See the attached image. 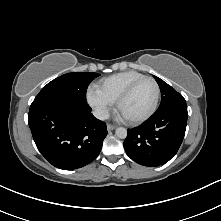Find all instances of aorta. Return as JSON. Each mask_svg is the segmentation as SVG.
<instances>
[{
	"instance_id": "1",
	"label": "aorta",
	"mask_w": 221,
	"mask_h": 221,
	"mask_svg": "<svg viewBox=\"0 0 221 221\" xmlns=\"http://www.w3.org/2000/svg\"><path fill=\"white\" fill-rule=\"evenodd\" d=\"M115 134L118 138L125 139L127 137V129H125L124 127H118L115 130Z\"/></svg>"
}]
</instances>
